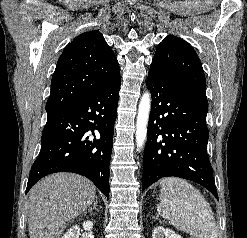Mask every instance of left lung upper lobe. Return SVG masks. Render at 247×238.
<instances>
[{
	"mask_svg": "<svg viewBox=\"0 0 247 238\" xmlns=\"http://www.w3.org/2000/svg\"><path fill=\"white\" fill-rule=\"evenodd\" d=\"M150 70L157 71L170 84L195 96L208 106L202 64L186 41L167 36L158 45Z\"/></svg>",
	"mask_w": 247,
	"mask_h": 238,
	"instance_id": "1",
	"label": "left lung upper lobe"
}]
</instances>
